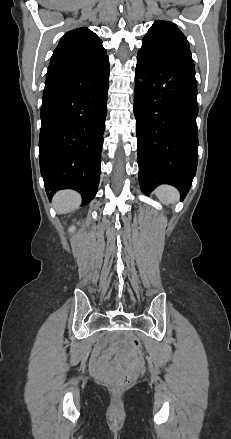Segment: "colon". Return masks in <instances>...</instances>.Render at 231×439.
Here are the masks:
<instances>
[{"mask_svg":"<svg viewBox=\"0 0 231 439\" xmlns=\"http://www.w3.org/2000/svg\"><path fill=\"white\" fill-rule=\"evenodd\" d=\"M130 345L132 347L133 350L135 351H139L142 347L141 341L137 338L134 337L131 339L130 341ZM131 379L130 375H122V376H118L115 378V387L116 388H122L124 387Z\"/></svg>","mask_w":231,"mask_h":439,"instance_id":"obj_1","label":"colon"}]
</instances>
